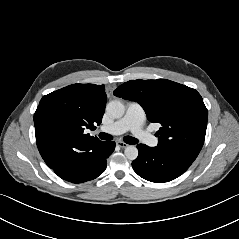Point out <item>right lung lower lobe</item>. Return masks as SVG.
<instances>
[{
	"mask_svg": "<svg viewBox=\"0 0 239 239\" xmlns=\"http://www.w3.org/2000/svg\"><path fill=\"white\" fill-rule=\"evenodd\" d=\"M115 143L99 142L79 149H67L51 167L62 179L72 183H83L101 175L107 164V158L114 151Z\"/></svg>",
	"mask_w": 239,
	"mask_h": 239,
	"instance_id": "1",
	"label": "right lung lower lobe"
}]
</instances>
